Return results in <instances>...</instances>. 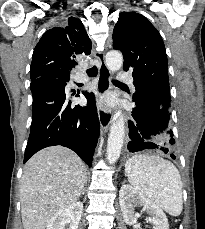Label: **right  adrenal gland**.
Listing matches in <instances>:
<instances>
[{
    "instance_id": "2a0ac1e0",
    "label": "right adrenal gland",
    "mask_w": 205,
    "mask_h": 229,
    "mask_svg": "<svg viewBox=\"0 0 205 229\" xmlns=\"http://www.w3.org/2000/svg\"><path fill=\"white\" fill-rule=\"evenodd\" d=\"M85 193V188H83V190L81 191V194L84 195Z\"/></svg>"
}]
</instances>
